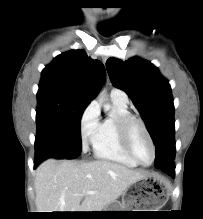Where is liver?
Returning a JSON list of instances; mask_svg holds the SVG:
<instances>
[{
  "instance_id": "obj_1",
  "label": "liver",
  "mask_w": 203,
  "mask_h": 219,
  "mask_svg": "<svg viewBox=\"0 0 203 219\" xmlns=\"http://www.w3.org/2000/svg\"><path fill=\"white\" fill-rule=\"evenodd\" d=\"M148 175L106 160L48 159L36 169L35 204L39 212L102 211L136 180ZM95 191V194H87Z\"/></svg>"
}]
</instances>
